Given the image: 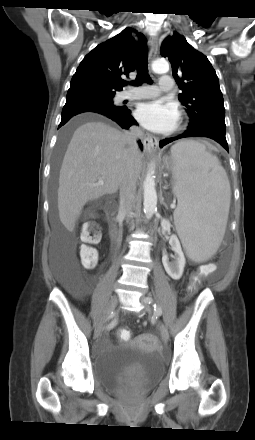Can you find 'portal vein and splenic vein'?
<instances>
[{
  "label": "portal vein and splenic vein",
  "mask_w": 255,
  "mask_h": 440,
  "mask_svg": "<svg viewBox=\"0 0 255 440\" xmlns=\"http://www.w3.org/2000/svg\"><path fill=\"white\" fill-rule=\"evenodd\" d=\"M99 184H103V180L102 179L99 181Z\"/></svg>",
  "instance_id": "obj_1"
}]
</instances>
